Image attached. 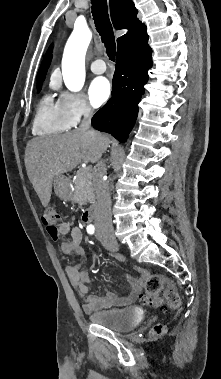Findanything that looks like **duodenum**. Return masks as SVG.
I'll return each mask as SVG.
<instances>
[{
    "label": "duodenum",
    "instance_id": "obj_1",
    "mask_svg": "<svg viewBox=\"0 0 221 379\" xmlns=\"http://www.w3.org/2000/svg\"><path fill=\"white\" fill-rule=\"evenodd\" d=\"M98 215V206L96 204L90 205L83 215V221L86 223H92L96 220Z\"/></svg>",
    "mask_w": 221,
    "mask_h": 379
}]
</instances>
